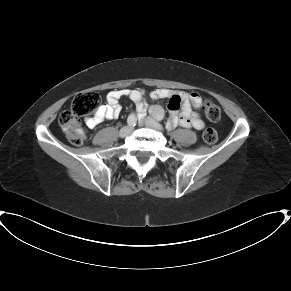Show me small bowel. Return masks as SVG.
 I'll use <instances>...</instances> for the list:
<instances>
[{"mask_svg":"<svg viewBox=\"0 0 291 291\" xmlns=\"http://www.w3.org/2000/svg\"><path fill=\"white\" fill-rule=\"evenodd\" d=\"M123 97H128L135 103L139 118L145 115L146 96L142 90H113L108 93L106 102L98 108L97 112L92 117L85 119L86 128L94 129L106 119L117 118L121 110L119 101ZM149 97L153 100H168L170 109L166 123L168 130H172L178 125L196 130L204 128L205 123L197 112L202 104V98L199 94L195 92L178 93L159 88L152 91Z\"/></svg>","mask_w":291,"mask_h":291,"instance_id":"c3829d8e","label":"small bowel"}]
</instances>
